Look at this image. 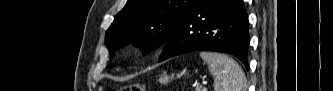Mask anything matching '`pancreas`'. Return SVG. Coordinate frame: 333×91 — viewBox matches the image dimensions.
<instances>
[{"instance_id":"1","label":"pancreas","mask_w":333,"mask_h":91,"mask_svg":"<svg viewBox=\"0 0 333 91\" xmlns=\"http://www.w3.org/2000/svg\"><path fill=\"white\" fill-rule=\"evenodd\" d=\"M196 91H205V90H201V89H196Z\"/></svg>"}]
</instances>
